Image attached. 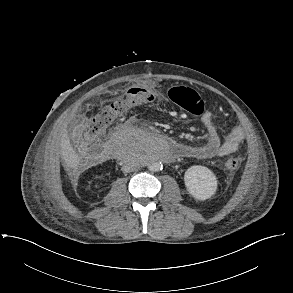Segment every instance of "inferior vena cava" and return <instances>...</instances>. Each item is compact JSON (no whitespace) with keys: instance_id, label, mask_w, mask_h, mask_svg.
<instances>
[{"instance_id":"obj_1","label":"inferior vena cava","mask_w":293,"mask_h":293,"mask_svg":"<svg viewBox=\"0 0 293 293\" xmlns=\"http://www.w3.org/2000/svg\"><path fill=\"white\" fill-rule=\"evenodd\" d=\"M135 169V166L133 164H130V163H126L122 166L121 170L124 172V173H128V172H131Z\"/></svg>"}]
</instances>
